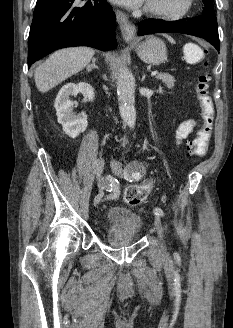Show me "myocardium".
Masks as SVG:
<instances>
[{
    "label": "myocardium",
    "instance_id": "obj_1",
    "mask_svg": "<svg viewBox=\"0 0 233 328\" xmlns=\"http://www.w3.org/2000/svg\"><path fill=\"white\" fill-rule=\"evenodd\" d=\"M194 0H183L182 6L175 11H168L163 9L153 8L150 5L146 4L145 13L156 18L164 20H179L185 18L193 8Z\"/></svg>",
    "mask_w": 233,
    "mask_h": 328
}]
</instances>
